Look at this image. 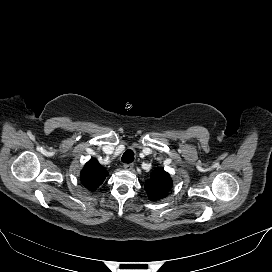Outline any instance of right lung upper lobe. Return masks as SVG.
<instances>
[{"label":"right lung upper lobe","instance_id":"cb5924a9","mask_svg":"<svg viewBox=\"0 0 272 272\" xmlns=\"http://www.w3.org/2000/svg\"><path fill=\"white\" fill-rule=\"evenodd\" d=\"M108 175L106 169L96 160L88 161L81 171V181L90 191L96 190Z\"/></svg>","mask_w":272,"mask_h":272}]
</instances>
